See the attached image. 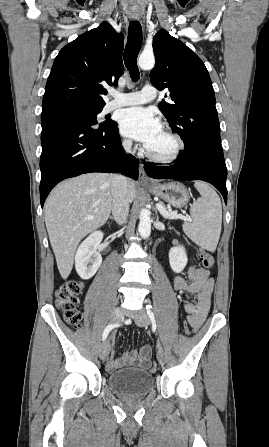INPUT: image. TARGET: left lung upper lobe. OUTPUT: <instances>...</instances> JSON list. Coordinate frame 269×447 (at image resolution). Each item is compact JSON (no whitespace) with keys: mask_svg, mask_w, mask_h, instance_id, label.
I'll return each mask as SVG.
<instances>
[{"mask_svg":"<svg viewBox=\"0 0 269 447\" xmlns=\"http://www.w3.org/2000/svg\"><path fill=\"white\" fill-rule=\"evenodd\" d=\"M153 49L156 65L150 80L157 89L170 92L173 102L162 101L159 109L184 142L180 153L190 154L207 144L221 146L214 89L204 63L165 30L154 36Z\"/></svg>","mask_w":269,"mask_h":447,"instance_id":"left-lung-upper-lobe-1","label":"left lung upper lobe"}]
</instances>
